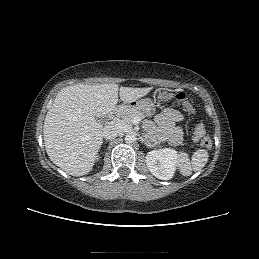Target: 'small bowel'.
<instances>
[{
  "label": "small bowel",
  "instance_id": "small-bowel-1",
  "mask_svg": "<svg viewBox=\"0 0 259 259\" xmlns=\"http://www.w3.org/2000/svg\"><path fill=\"white\" fill-rule=\"evenodd\" d=\"M183 115L175 109H165L156 117L158 125L157 135L161 140H168L173 144H178L181 140V129L176 123L183 120Z\"/></svg>",
  "mask_w": 259,
  "mask_h": 259
}]
</instances>
